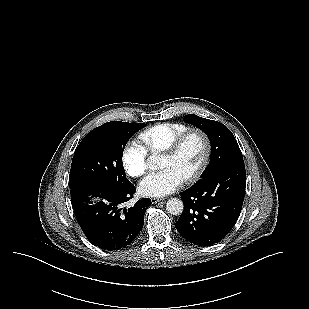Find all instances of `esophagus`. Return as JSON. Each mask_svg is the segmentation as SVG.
<instances>
[{"instance_id":"obj_1","label":"esophagus","mask_w":309,"mask_h":309,"mask_svg":"<svg viewBox=\"0 0 309 309\" xmlns=\"http://www.w3.org/2000/svg\"><path fill=\"white\" fill-rule=\"evenodd\" d=\"M162 199H160V198H151V202L153 203V204H156V203H158V202H160Z\"/></svg>"}]
</instances>
